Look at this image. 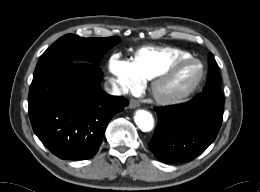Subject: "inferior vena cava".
<instances>
[{
	"label": "inferior vena cava",
	"mask_w": 260,
	"mask_h": 192,
	"mask_svg": "<svg viewBox=\"0 0 260 192\" xmlns=\"http://www.w3.org/2000/svg\"><path fill=\"white\" fill-rule=\"evenodd\" d=\"M104 89L108 94L116 96L124 95L127 93L126 87L120 82H117V80L114 78H109L105 82Z\"/></svg>",
	"instance_id": "obj_1"
}]
</instances>
